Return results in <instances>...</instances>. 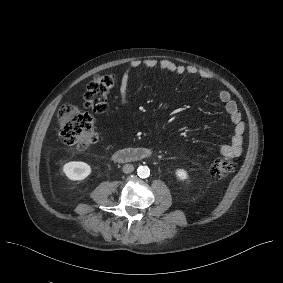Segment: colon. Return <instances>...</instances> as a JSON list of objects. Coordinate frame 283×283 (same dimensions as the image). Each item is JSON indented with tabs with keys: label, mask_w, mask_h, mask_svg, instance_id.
<instances>
[{
	"label": "colon",
	"mask_w": 283,
	"mask_h": 283,
	"mask_svg": "<svg viewBox=\"0 0 283 283\" xmlns=\"http://www.w3.org/2000/svg\"><path fill=\"white\" fill-rule=\"evenodd\" d=\"M115 80L113 74L94 78L84 93L85 108L98 114L105 112ZM59 136L65 144L78 150L88 148L97 140L91 115L72 104L64 105L59 112ZM234 170V163L228 159H217L208 166L209 173L215 178L227 177Z\"/></svg>",
	"instance_id": "colon-1"
}]
</instances>
